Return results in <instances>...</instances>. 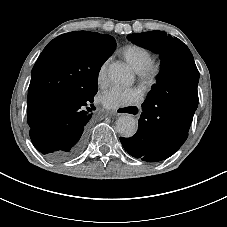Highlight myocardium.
I'll return each mask as SVG.
<instances>
[{"mask_svg": "<svg viewBox=\"0 0 227 227\" xmlns=\"http://www.w3.org/2000/svg\"><path fill=\"white\" fill-rule=\"evenodd\" d=\"M162 72V64L157 61H151L142 71L139 72L138 77L142 84L152 87L157 84Z\"/></svg>", "mask_w": 227, "mask_h": 227, "instance_id": "1", "label": "myocardium"}]
</instances>
